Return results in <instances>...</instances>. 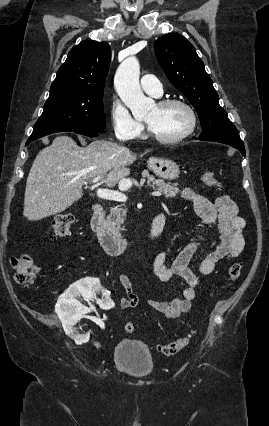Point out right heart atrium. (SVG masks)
<instances>
[{
	"instance_id": "obj_1",
	"label": "right heart atrium",
	"mask_w": 269,
	"mask_h": 426,
	"mask_svg": "<svg viewBox=\"0 0 269 426\" xmlns=\"http://www.w3.org/2000/svg\"><path fill=\"white\" fill-rule=\"evenodd\" d=\"M110 118L115 134L122 139L133 140L143 134V125L117 99L111 101Z\"/></svg>"
}]
</instances>
